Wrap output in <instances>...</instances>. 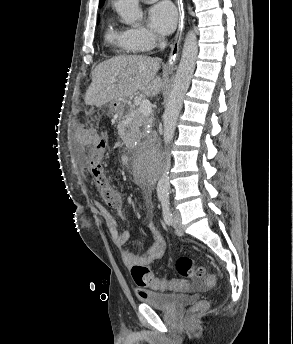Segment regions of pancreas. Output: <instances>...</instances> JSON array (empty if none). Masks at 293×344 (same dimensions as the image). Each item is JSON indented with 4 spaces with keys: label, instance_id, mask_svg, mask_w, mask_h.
Instances as JSON below:
<instances>
[{
    "label": "pancreas",
    "instance_id": "pancreas-1",
    "mask_svg": "<svg viewBox=\"0 0 293 344\" xmlns=\"http://www.w3.org/2000/svg\"><path fill=\"white\" fill-rule=\"evenodd\" d=\"M129 119L130 121L128 122L127 126L132 131L139 132L140 128H142V130L145 132L146 130H151V126L154 121V115L150 114L148 116H144L139 109H136L133 106V109L129 115Z\"/></svg>",
    "mask_w": 293,
    "mask_h": 344
}]
</instances>
